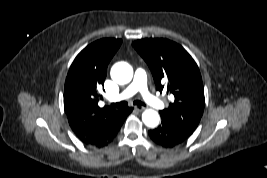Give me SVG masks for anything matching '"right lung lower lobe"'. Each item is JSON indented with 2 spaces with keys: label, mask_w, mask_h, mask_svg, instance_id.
I'll return each instance as SVG.
<instances>
[{
  "label": "right lung lower lobe",
  "mask_w": 267,
  "mask_h": 178,
  "mask_svg": "<svg viewBox=\"0 0 267 178\" xmlns=\"http://www.w3.org/2000/svg\"><path fill=\"white\" fill-rule=\"evenodd\" d=\"M133 108L122 107L112 117L89 127L83 135L77 137L88 146L102 148L110 144L117 136L124 120Z\"/></svg>",
  "instance_id": "right-lung-lower-lobe-1"
}]
</instances>
